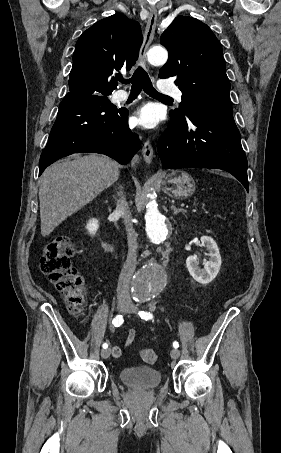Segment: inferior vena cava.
<instances>
[{
  "label": "inferior vena cava",
  "instance_id": "602c4592",
  "mask_svg": "<svg viewBox=\"0 0 281 453\" xmlns=\"http://www.w3.org/2000/svg\"><path fill=\"white\" fill-rule=\"evenodd\" d=\"M114 212L115 214H120V216L124 218V224H126L127 241L129 247L124 269H122L119 275L117 287V299L118 301H128V303H131L129 289L132 277L134 275V271L136 269L138 249L137 235L132 227L131 212L129 210L128 202H126L125 198H122V200L118 202Z\"/></svg>",
  "mask_w": 281,
  "mask_h": 453
}]
</instances>
